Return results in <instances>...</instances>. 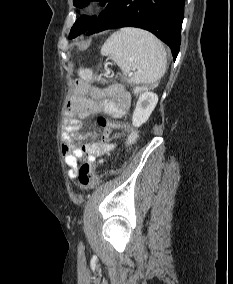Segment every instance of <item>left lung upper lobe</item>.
Returning <instances> with one entry per match:
<instances>
[{
  "label": "left lung upper lobe",
  "mask_w": 233,
  "mask_h": 284,
  "mask_svg": "<svg viewBox=\"0 0 233 284\" xmlns=\"http://www.w3.org/2000/svg\"><path fill=\"white\" fill-rule=\"evenodd\" d=\"M91 0H74L73 4L76 7H84L87 2ZM101 2V5L104 6L107 4L110 0H97ZM96 20V17H88V16H82L79 19L76 20L73 27L71 28L69 39H73L77 37L78 35L87 32L91 26L94 24Z\"/></svg>",
  "instance_id": "obj_1"
}]
</instances>
